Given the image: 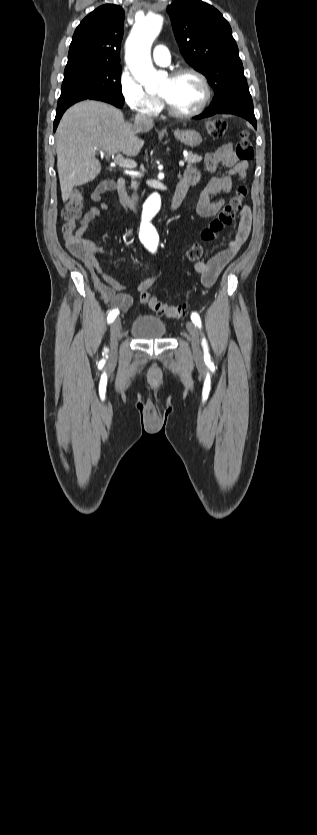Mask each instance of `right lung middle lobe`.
<instances>
[{
	"label": "right lung middle lobe",
	"instance_id": "right-lung-middle-lobe-1",
	"mask_svg": "<svg viewBox=\"0 0 317 835\" xmlns=\"http://www.w3.org/2000/svg\"><path fill=\"white\" fill-rule=\"evenodd\" d=\"M120 75V65L92 63L67 65L57 106L98 95H111L124 100Z\"/></svg>",
	"mask_w": 317,
	"mask_h": 835
}]
</instances>
